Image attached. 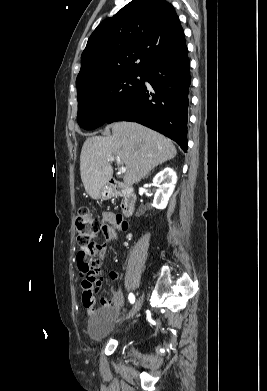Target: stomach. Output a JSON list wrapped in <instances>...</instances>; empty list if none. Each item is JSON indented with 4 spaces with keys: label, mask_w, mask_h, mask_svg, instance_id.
<instances>
[{
    "label": "stomach",
    "mask_w": 267,
    "mask_h": 391,
    "mask_svg": "<svg viewBox=\"0 0 267 391\" xmlns=\"http://www.w3.org/2000/svg\"><path fill=\"white\" fill-rule=\"evenodd\" d=\"M113 195V189L109 185H105L102 187L99 193V198L100 199H108Z\"/></svg>",
    "instance_id": "obj_1"
}]
</instances>
